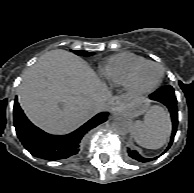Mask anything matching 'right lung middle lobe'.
I'll return each instance as SVG.
<instances>
[{
    "label": "right lung middle lobe",
    "instance_id": "obj_1",
    "mask_svg": "<svg viewBox=\"0 0 194 193\" xmlns=\"http://www.w3.org/2000/svg\"><path fill=\"white\" fill-rule=\"evenodd\" d=\"M73 52L76 53L77 55H80V56H90L93 54L92 52H86V51L73 50Z\"/></svg>",
    "mask_w": 194,
    "mask_h": 193
}]
</instances>
